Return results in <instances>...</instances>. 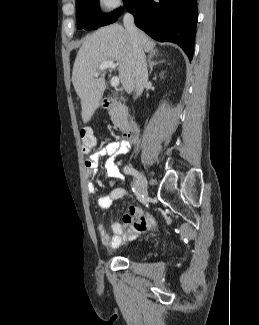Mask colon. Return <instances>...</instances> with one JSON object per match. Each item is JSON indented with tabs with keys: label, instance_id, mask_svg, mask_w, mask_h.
I'll list each match as a JSON object with an SVG mask.
<instances>
[{
	"label": "colon",
	"instance_id": "5ec220e1",
	"mask_svg": "<svg viewBox=\"0 0 259 325\" xmlns=\"http://www.w3.org/2000/svg\"><path fill=\"white\" fill-rule=\"evenodd\" d=\"M80 140L83 152L89 153L95 145V137L91 127L81 128Z\"/></svg>",
	"mask_w": 259,
	"mask_h": 325
}]
</instances>
